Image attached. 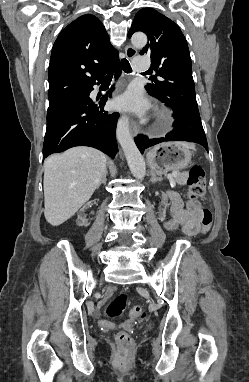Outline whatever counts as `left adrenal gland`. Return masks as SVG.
<instances>
[{"instance_id": "1", "label": "left adrenal gland", "mask_w": 249, "mask_h": 382, "mask_svg": "<svg viewBox=\"0 0 249 382\" xmlns=\"http://www.w3.org/2000/svg\"><path fill=\"white\" fill-rule=\"evenodd\" d=\"M151 176H152V177H151V182H152V183H156V182H159V181L162 180V178H158V177H156L155 173H152Z\"/></svg>"}]
</instances>
